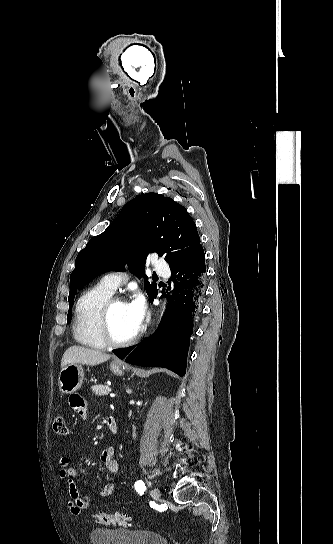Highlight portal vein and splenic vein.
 Returning a JSON list of instances; mask_svg holds the SVG:
<instances>
[{
  "instance_id": "18ae733b",
  "label": "portal vein and splenic vein",
  "mask_w": 333,
  "mask_h": 544,
  "mask_svg": "<svg viewBox=\"0 0 333 544\" xmlns=\"http://www.w3.org/2000/svg\"><path fill=\"white\" fill-rule=\"evenodd\" d=\"M110 397H111V398H114V397H115V394H114V393H111V394H110Z\"/></svg>"
}]
</instances>
